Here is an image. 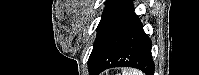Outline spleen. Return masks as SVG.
<instances>
[{
  "mask_svg": "<svg viewBox=\"0 0 199 75\" xmlns=\"http://www.w3.org/2000/svg\"><path fill=\"white\" fill-rule=\"evenodd\" d=\"M123 75H142V73L138 70L130 69L128 71L123 72Z\"/></svg>",
  "mask_w": 199,
  "mask_h": 75,
  "instance_id": "3e777b00",
  "label": "spleen"
}]
</instances>
